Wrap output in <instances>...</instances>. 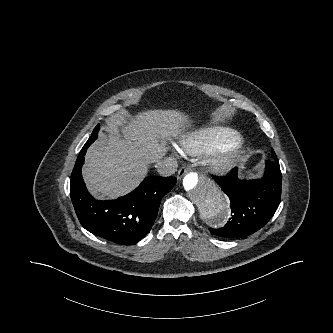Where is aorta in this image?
<instances>
[{"label": "aorta", "instance_id": "1", "mask_svg": "<svg viewBox=\"0 0 333 333\" xmlns=\"http://www.w3.org/2000/svg\"><path fill=\"white\" fill-rule=\"evenodd\" d=\"M184 193L204 222L218 224L227 215L224 193L206 175L189 172L183 178Z\"/></svg>", "mask_w": 333, "mask_h": 333}]
</instances>
